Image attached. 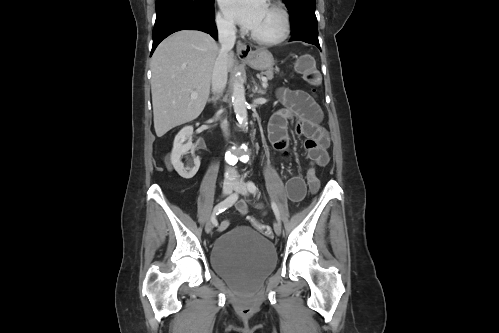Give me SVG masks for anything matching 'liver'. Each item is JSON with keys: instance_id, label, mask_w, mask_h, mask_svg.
Segmentation results:
<instances>
[{"instance_id": "6515ba94", "label": "liver", "mask_w": 499, "mask_h": 333, "mask_svg": "<svg viewBox=\"0 0 499 333\" xmlns=\"http://www.w3.org/2000/svg\"><path fill=\"white\" fill-rule=\"evenodd\" d=\"M219 46L207 33L178 31L155 50L151 60V93L156 135L196 119L210 93L212 73ZM234 62L228 54L227 68ZM197 98H191V93Z\"/></svg>"}]
</instances>
